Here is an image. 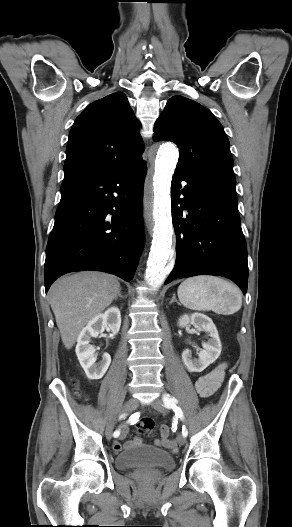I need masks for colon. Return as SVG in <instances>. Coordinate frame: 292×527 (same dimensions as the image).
Instances as JSON below:
<instances>
[{
  "label": "colon",
  "instance_id": "obj_1",
  "mask_svg": "<svg viewBox=\"0 0 292 527\" xmlns=\"http://www.w3.org/2000/svg\"><path fill=\"white\" fill-rule=\"evenodd\" d=\"M72 384L77 386V381L73 380ZM76 393H79L78 390H76ZM137 428L141 433L150 432L154 428V421L151 418H143L138 422Z\"/></svg>",
  "mask_w": 292,
  "mask_h": 527
}]
</instances>
